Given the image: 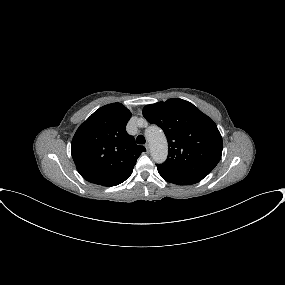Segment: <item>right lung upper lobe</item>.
Instances as JSON below:
<instances>
[{"instance_id":"right-lung-upper-lobe-1","label":"right lung upper lobe","mask_w":285,"mask_h":285,"mask_svg":"<svg viewBox=\"0 0 285 285\" xmlns=\"http://www.w3.org/2000/svg\"><path fill=\"white\" fill-rule=\"evenodd\" d=\"M130 111L120 103L95 111L77 129L71 153L80 175L87 181L115 186L130 177L145 147L126 132Z\"/></svg>"}]
</instances>
